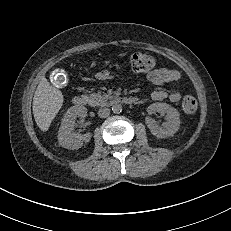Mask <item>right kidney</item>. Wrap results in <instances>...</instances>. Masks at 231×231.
Masks as SVG:
<instances>
[{
	"mask_svg": "<svg viewBox=\"0 0 231 231\" xmlns=\"http://www.w3.org/2000/svg\"><path fill=\"white\" fill-rule=\"evenodd\" d=\"M87 109L85 107L73 106L67 110L61 122L58 132L59 145L68 149H79L84 143L91 139V133L78 134L72 133L74 123L77 117H86Z\"/></svg>",
	"mask_w": 231,
	"mask_h": 231,
	"instance_id": "1",
	"label": "right kidney"
}]
</instances>
